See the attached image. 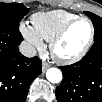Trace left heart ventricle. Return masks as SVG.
I'll return each instance as SVG.
<instances>
[{
    "instance_id": "b2bd125f",
    "label": "left heart ventricle",
    "mask_w": 102,
    "mask_h": 102,
    "mask_svg": "<svg viewBox=\"0 0 102 102\" xmlns=\"http://www.w3.org/2000/svg\"><path fill=\"white\" fill-rule=\"evenodd\" d=\"M89 27L86 22L75 24L56 48L59 55L72 57L78 54L87 42Z\"/></svg>"
}]
</instances>
